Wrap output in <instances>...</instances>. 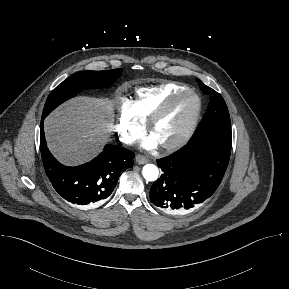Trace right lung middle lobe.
<instances>
[{
	"mask_svg": "<svg viewBox=\"0 0 289 289\" xmlns=\"http://www.w3.org/2000/svg\"><path fill=\"white\" fill-rule=\"evenodd\" d=\"M121 69L106 71L77 72L60 83L49 95L44 106L42 118L64 101L74 97L84 89L104 88L111 85L121 75Z\"/></svg>",
	"mask_w": 289,
	"mask_h": 289,
	"instance_id": "obj_1",
	"label": "right lung middle lobe"
}]
</instances>
